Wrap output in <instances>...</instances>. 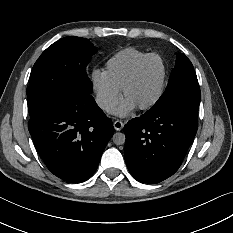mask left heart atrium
I'll use <instances>...</instances> for the list:
<instances>
[{"label":"left heart atrium","mask_w":233,"mask_h":233,"mask_svg":"<svg viewBox=\"0 0 233 233\" xmlns=\"http://www.w3.org/2000/svg\"><path fill=\"white\" fill-rule=\"evenodd\" d=\"M138 108L137 104L128 97H125L121 104L115 108L112 113L120 118L129 116Z\"/></svg>","instance_id":"39dd6f15"}]
</instances>
